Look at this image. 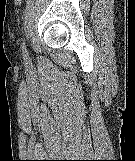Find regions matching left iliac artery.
<instances>
[{
  "label": "left iliac artery",
  "mask_w": 135,
  "mask_h": 161,
  "mask_svg": "<svg viewBox=\"0 0 135 161\" xmlns=\"http://www.w3.org/2000/svg\"><path fill=\"white\" fill-rule=\"evenodd\" d=\"M22 51H23L24 58L27 60L28 59V53H27V50H26L25 41L23 39H22Z\"/></svg>",
  "instance_id": "44dca946"
}]
</instances>
